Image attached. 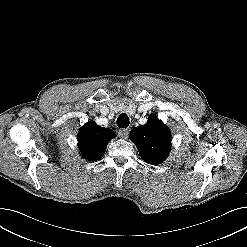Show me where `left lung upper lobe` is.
Here are the masks:
<instances>
[{
    "mask_svg": "<svg viewBox=\"0 0 247 247\" xmlns=\"http://www.w3.org/2000/svg\"><path fill=\"white\" fill-rule=\"evenodd\" d=\"M130 139L137 146L142 159L159 164L167 157L171 147L170 131L157 117L151 116L145 125L135 127Z\"/></svg>",
    "mask_w": 247,
    "mask_h": 247,
    "instance_id": "left-lung-upper-lobe-1",
    "label": "left lung upper lobe"
}]
</instances>
